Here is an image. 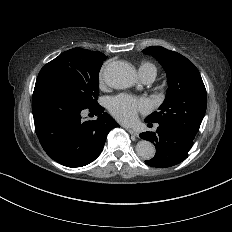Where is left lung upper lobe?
<instances>
[{
    "mask_svg": "<svg viewBox=\"0 0 232 232\" xmlns=\"http://www.w3.org/2000/svg\"><path fill=\"white\" fill-rule=\"evenodd\" d=\"M154 56L167 73L166 98L146 117L152 123L168 124L182 130L192 138L197 134L206 112V89L195 65L181 54L161 46L143 50Z\"/></svg>",
    "mask_w": 232,
    "mask_h": 232,
    "instance_id": "obj_1",
    "label": "left lung upper lobe"
}]
</instances>
